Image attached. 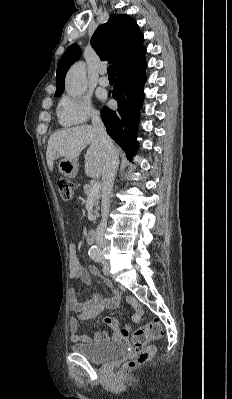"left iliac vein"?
<instances>
[{
    "mask_svg": "<svg viewBox=\"0 0 232 399\" xmlns=\"http://www.w3.org/2000/svg\"><path fill=\"white\" fill-rule=\"evenodd\" d=\"M108 269H109V266H108V265H105L104 268H103V271H104V274H105V275H108V274H109Z\"/></svg>",
    "mask_w": 232,
    "mask_h": 399,
    "instance_id": "1",
    "label": "left iliac vein"
}]
</instances>
